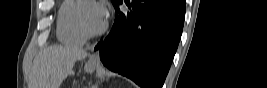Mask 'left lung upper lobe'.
<instances>
[{
	"mask_svg": "<svg viewBox=\"0 0 267 88\" xmlns=\"http://www.w3.org/2000/svg\"><path fill=\"white\" fill-rule=\"evenodd\" d=\"M122 0H112V3L115 6H117Z\"/></svg>",
	"mask_w": 267,
	"mask_h": 88,
	"instance_id": "5c2ea615",
	"label": "left lung upper lobe"
}]
</instances>
